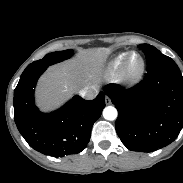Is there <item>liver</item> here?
<instances>
[{
    "instance_id": "obj_1",
    "label": "liver",
    "mask_w": 183,
    "mask_h": 183,
    "mask_svg": "<svg viewBox=\"0 0 183 183\" xmlns=\"http://www.w3.org/2000/svg\"><path fill=\"white\" fill-rule=\"evenodd\" d=\"M106 56L105 50L86 49L77 59L50 68L39 81L38 105L44 111L50 110L60 105L72 92L90 87V82H97Z\"/></svg>"
}]
</instances>
